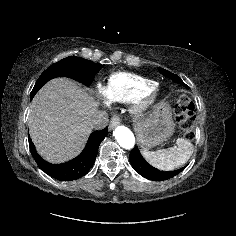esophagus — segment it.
Here are the masks:
<instances>
[{"label": "esophagus", "instance_id": "1", "mask_svg": "<svg viewBox=\"0 0 236 236\" xmlns=\"http://www.w3.org/2000/svg\"><path fill=\"white\" fill-rule=\"evenodd\" d=\"M121 123V118L119 116H113L110 120L109 129L112 130Z\"/></svg>", "mask_w": 236, "mask_h": 236}]
</instances>
